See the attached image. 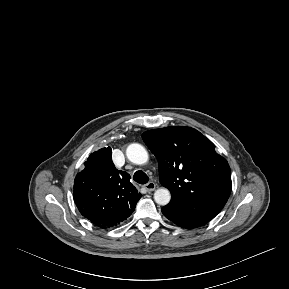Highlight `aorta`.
<instances>
[{
    "label": "aorta",
    "mask_w": 289,
    "mask_h": 289,
    "mask_svg": "<svg viewBox=\"0 0 289 289\" xmlns=\"http://www.w3.org/2000/svg\"><path fill=\"white\" fill-rule=\"evenodd\" d=\"M127 158L134 164L143 165L148 161V152L138 144L132 143L126 150ZM171 194L167 188H159L154 193V200L159 205H167L170 202Z\"/></svg>",
    "instance_id": "762f6f07"
}]
</instances>
